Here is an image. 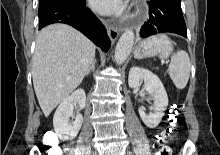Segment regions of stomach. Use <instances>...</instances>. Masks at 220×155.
<instances>
[{
	"label": "stomach",
	"mask_w": 220,
	"mask_h": 155,
	"mask_svg": "<svg viewBox=\"0 0 220 155\" xmlns=\"http://www.w3.org/2000/svg\"><path fill=\"white\" fill-rule=\"evenodd\" d=\"M173 51V43L165 34L154 35L143 41L135 52L137 58L159 56L168 57Z\"/></svg>",
	"instance_id": "0dacf381"
}]
</instances>
